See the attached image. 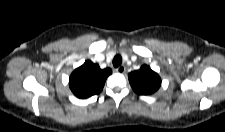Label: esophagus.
I'll return each instance as SVG.
<instances>
[{
    "label": "esophagus",
    "instance_id": "esophagus-1",
    "mask_svg": "<svg viewBox=\"0 0 225 132\" xmlns=\"http://www.w3.org/2000/svg\"><path fill=\"white\" fill-rule=\"evenodd\" d=\"M125 71H126V68L123 65H121L118 68H116V72L117 73L123 74V73H125Z\"/></svg>",
    "mask_w": 225,
    "mask_h": 132
}]
</instances>
